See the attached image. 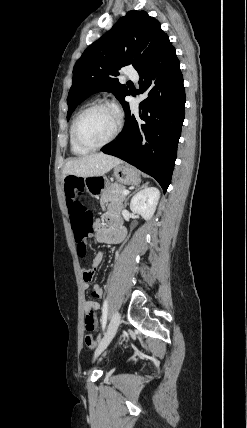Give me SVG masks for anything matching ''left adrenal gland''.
I'll list each match as a JSON object with an SVG mask.
<instances>
[{"mask_svg":"<svg viewBox=\"0 0 247 428\" xmlns=\"http://www.w3.org/2000/svg\"><path fill=\"white\" fill-rule=\"evenodd\" d=\"M148 185V182L146 183V184H144L142 187H146ZM132 194H129L128 196H127V198L125 199V202H124V204H125V206L127 205V201H128V199H129V197L131 196Z\"/></svg>","mask_w":247,"mask_h":428,"instance_id":"obj_1","label":"left adrenal gland"}]
</instances>
